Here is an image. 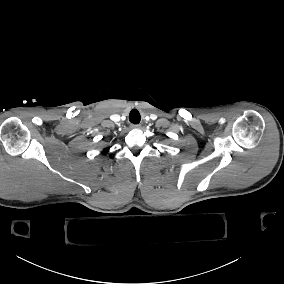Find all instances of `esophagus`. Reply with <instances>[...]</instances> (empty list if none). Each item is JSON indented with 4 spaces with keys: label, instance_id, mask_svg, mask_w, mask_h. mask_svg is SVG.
I'll use <instances>...</instances> for the list:
<instances>
[{
    "label": "esophagus",
    "instance_id": "esophagus-1",
    "mask_svg": "<svg viewBox=\"0 0 284 284\" xmlns=\"http://www.w3.org/2000/svg\"><path fill=\"white\" fill-rule=\"evenodd\" d=\"M130 128L131 129H138V128H141V125L140 124H131Z\"/></svg>",
    "mask_w": 284,
    "mask_h": 284
}]
</instances>
